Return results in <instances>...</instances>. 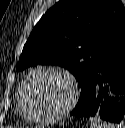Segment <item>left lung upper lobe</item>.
Listing matches in <instances>:
<instances>
[{"mask_svg":"<svg viewBox=\"0 0 125 128\" xmlns=\"http://www.w3.org/2000/svg\"><path fill=\"white\" fill-rule=\"evenodd\" d=\"M125 29L120 0H60L33 28L17 71L37 64L58 65L87 83L108 46Z\"/></svg>","mask_w":125,"mask_h":128,"instance_id":"5c2ea615","label":"left lung upper lobe"}]
</instances>
